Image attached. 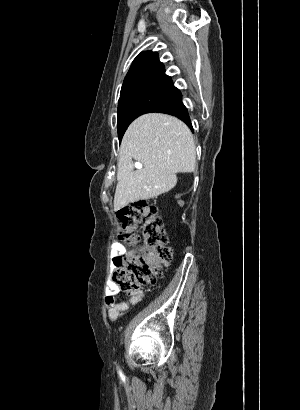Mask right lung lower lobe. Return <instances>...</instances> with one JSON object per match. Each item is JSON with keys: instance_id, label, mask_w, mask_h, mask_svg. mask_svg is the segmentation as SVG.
<instances>
[{"instance_id": "right-lung-lower-lobe-1", "label": "right lung lower lobe", "mask_w": 300, "mask_h": 410, "mask_svg": "<svg viewBox=\"0 0 300 410\" xmlns=\"http://www.w3.org/2000/svg\"><path fill=\"white\" fill-rule=\"evenodd\" d=\"M157 112L174 115L180 118L183 122H185L189 127L192 128L188 110L182 103V97L177 99L172 104L158 110Z\"/></svg>"}]
</instances>
